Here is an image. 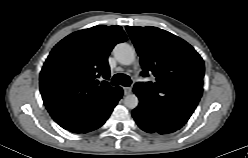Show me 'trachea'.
<instances>
[{"instance_id":"trachea-1","label":"trachea","mask_w":248,"mask_h":158,"mask_svg":"<svg viewBox=\"0 0 248 158\" xmlns=\"http://www.w3.org/2000/svg\"><path fill=\"white\" fill-rule=\"evenodd\" d=\"M111 83L112 85H122L129 87L131 85V79L126 74L118 73L113 76Z\"/></svg>"}]
</instances>
